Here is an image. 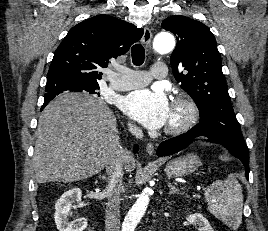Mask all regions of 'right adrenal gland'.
I'll use <instances>...</instances> for the list:
<instances>
[{
	"label": "right adrenal gland",
	"instance_id": "2a0ac1e0",
	"mask_svg": "<svg viewBox=\"0 0 268 231\" xmlns=\"http://www.w3.org/2000/svg\"><path fill=\"white\" fill-rule=\"evenodd\" d=\"M99 178H101L102 180H106V177L105 176H99Z\"/></svg>",
	"mask_w": 268,
	"mask_h": 231
}]
</instances>
